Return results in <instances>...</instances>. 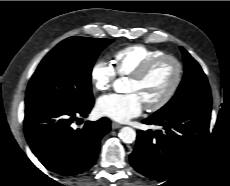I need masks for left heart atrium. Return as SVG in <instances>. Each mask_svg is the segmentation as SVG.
<instances>
[{
    "label": "left heart atrium",
    "mask_w": 230,
    "mask_h": 186,
    "mask_svg": "<svg viewBox=\"0 0 230 186\" xmlns=\"http://www.w3.org/2000/svg\"><path fill=\"white\" fill-rule=\"evenodd\" d=\"M96 108L101 116L127 122L141 114L144 104L135 93L110 94L99 98Z\"/></svg>",
    "instance_id": "obj_1"
}]
</instances>
